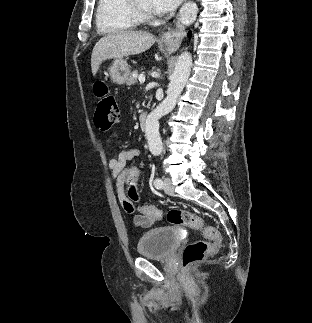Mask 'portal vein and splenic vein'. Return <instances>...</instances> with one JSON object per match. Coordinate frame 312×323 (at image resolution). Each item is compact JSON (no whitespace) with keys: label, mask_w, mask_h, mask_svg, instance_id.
I'll return each instance as SVG.
<instances>
[{"label":"portal vein and splenic vein","mask_w":312,"mask_h":323,"mask_svg":"<svg viewBox=\"0 0 312 323\" xmlns=\"http://www.w3.org/2000/svg\"><path fill=\"white\" fill-rule=\"evenodd\" d=\"M138 80H139L140 84H144V82H145L144 76H139Z\"/></svg>","instance_id":"1"}]
</instances>
